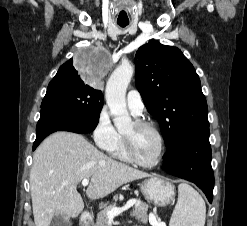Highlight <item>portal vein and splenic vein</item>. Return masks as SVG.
I'll use <instances>...</instances> for the list:
<instances>
[{
  "mask_svg": "<svg viewBox=\"0 0 247 226\" xmlns=\"http://www.w3.org/2000/svg\"><path fill=\"white\" fill-rule=\"evenodd\" d=\"M83 187H86L89 184V180L88 179H84L81 182ZM136 203V199H130L129 201H127V203L123 206V207H115L112 210L107 212V218L109 220H112L115 216L121 214L122 212L128 210L130 207H132L134 204ZM162 226H165V224H163Z\"/></svg>",
  "mask_w": 247,
  "mask_h": 226,
  "instance_id": "18ae733b",
  "label": "portal vein and splenic vein"
}]
</instances>
